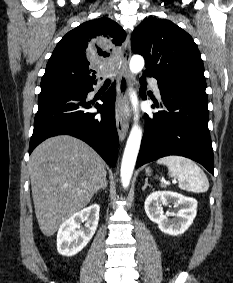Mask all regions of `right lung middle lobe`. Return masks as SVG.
Listing matches in <instances>:
<instances>
[{"mask_svg": "<svg viewBox=\"0 0 233 283\" xmlns=\"http://www.w3.org/2000/svg\"><path fill=\"white\" fill-rule=\"evenodd\" d=\"M40 86H41V89L50 88V87H69V88H83L84 87V86L74 84L71 82L59 81V80L41 82Z\"/></svg>", "mask_w": 233, "mask_h": 283, "instance_id": "obj_1", "label": "right lung middle lobe"}]
</instances>
